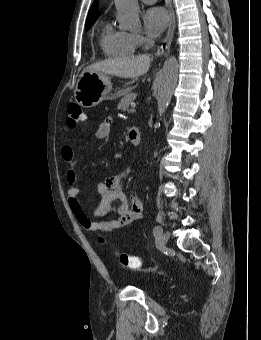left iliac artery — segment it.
Listing matches in <instances>:
<instances>
[{
    "label": "left iliac artery",
    "mask_w": 261,
    "mask_h": 340,
    "mask_svg": "<svg viewBox=\"0 0 261 340\" xmlns=\"http://www.w3.org/2000/svg\"><path fill=\"white\" fill-rule=\"evenodd\" d=\"M162 228L160 226H156L153 230L154 236H160L162 234Z\"/></svg>",
    "instance_id": "1"
}]
</instances>
